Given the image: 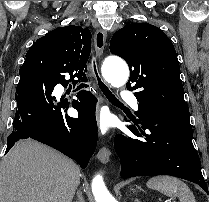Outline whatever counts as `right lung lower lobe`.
<instances>
[{
  "instance_id": "1",
  "label": "right lung lower lobe",
  "mask_w": 209,
  "mask_h": 202,
  "mask_svg": "<svg viewBox=\"0 0 209 202\" xmlns=\"http://www.w3.org/2000/svg\"><path fill=\"white\" fill-rule=\"evenodd\" d=\"M59 82L45 77L20 78L16 88L17 108L13 131L7 138L6 153L19 139L32 138L49 145L85 168L97 143L96 98L86 91L78 93L80 102L55 97ZM72 105L78 118L68 116Z\"/></svg>"
}]
</instances>
